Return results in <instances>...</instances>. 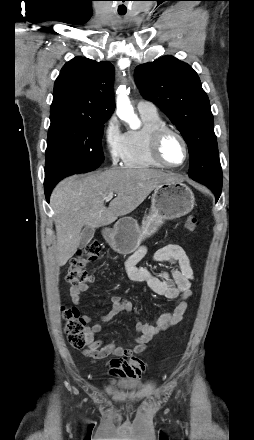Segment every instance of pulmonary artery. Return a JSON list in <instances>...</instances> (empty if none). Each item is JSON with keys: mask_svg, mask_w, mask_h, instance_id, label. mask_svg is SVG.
<instances>
[{"mask_svg": "<svg viewBox=\"0 0 254 440\" xmlns=\"http://www.w3.org/2000/svg\"><path fill=\"white\" fill-rule=\"evenodd\" d=\"M137 109L139 112H145V113L157 112V109L153 103H151L149 101H143V100H140L137 103Z\"/></svg>", "mask_w": 254, "mask_h": 440, "instance_id": "obj_1", "label": "pulmonary artery"}]
</instances>
